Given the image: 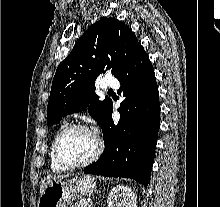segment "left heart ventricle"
I'll return each instance as SVG.
<instances>
[{
	"instance_id": "left-heart-ventricle-1",
	"label": "left heart ventricle",
	"mask_w": 220,
	"mask_h": 207,
	"mask_svg": "<svg viewBox=\"0 0 220 207\" xmlns=\"http://www.w3.org/2000/svg\"><path fill=\"white\" fill-rule=\"evenodd\" d=\"M96 147L93 136L83 130L65 133L58 144V153L65 163H78L89 158Z\"/></svg>"
}]
</instances>
